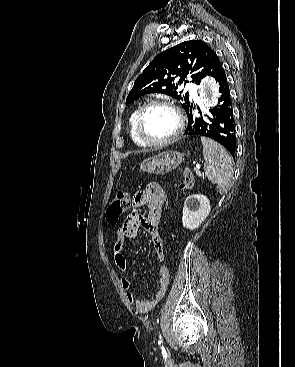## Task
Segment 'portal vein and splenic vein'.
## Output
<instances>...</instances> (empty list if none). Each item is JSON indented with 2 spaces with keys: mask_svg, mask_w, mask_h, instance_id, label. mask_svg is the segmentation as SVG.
Returning a JSON list of instances; mask_svg holds the SVG:
<instances>
[{
  "mask_svg": "<svg viewBox=\"0 0 295 367\" xmlns=\"http://www.w3.org/2000/svg\"><path fill=\"white\" fill-rule=\"evenodd\" d=\"M194 172H195L198 176H203V177H204V175H202V174H201L200 170H199L197 167H195V168H194Z\"/></svg>",
  "mask_w": 295,
  "mask_h": 367,
  "instance_id": "18ae733b",
  "label": "portal vein and splenic vein"
}]
</instances>
